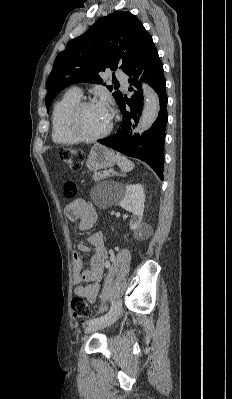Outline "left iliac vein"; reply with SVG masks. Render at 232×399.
<instances>
[{
    "label": "left iliac vein",
    "instance_id": "4c4485c4",
    "mask_svg": "<svg viewBox=\"0 0 232 399\" xmlns=\"http://www.w3.org/2000/svg\"><path fill=\"white\" fill-rule=\"evenodd\" d=\"M117 304L118 305L114 308L109 320L95 322V325H89V328L84 330V332L85 333H95L94 332L95 328L101 329V328H105V327H110L112 323H115L120 315V311L123 309L122 305L124 304V301L118 300Z\"/></svg>",
    "mask_w": 232,
    "mask_h": 399
}]
</instances>
